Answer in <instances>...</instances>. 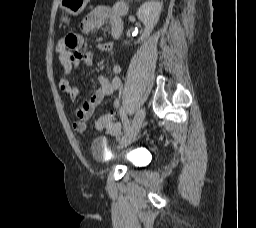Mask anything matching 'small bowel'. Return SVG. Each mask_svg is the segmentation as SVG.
<instances>
[{
    "instance_id": "small-bowel-1",
    "label": "small bowel",
    "mask_w": 256,
    "mask_h": 228,
    "mask_svg": "<svg viewBox=\"0 0 256 228\" xmlns=\"http://www.w3.org/2000/svg\"><path fill=\"white\" fill-rule=\"evenodd\" d=\"M126 11L127 6L122 1H116L112 5H99L84 18L81 24L82 34L70 33L61 39L62 45L59 49V61L63 68L64 75L59 82V88L63 93L67 94L71 100L74 101L79 97L80 90L70 82V73L81 65L89 66L92 64V55L83 50V35L91 33L109 22L113 34L118 36L116 32L118 30L121 31V17L125 15ZM98 48L104 52H112L113 43L110 41L102 42L98 44ZM111 71L113 76L111 78L100 76L99 88L93 93L88 101L76 108L77 120L74 121L73 127L77 132L86 130L89 119L106 96H111L121 89V65L114 63ZM107 130L111 134H118L121 128L119 124L111 123L107 127Z\"/></svg>"
}]
</instances>
